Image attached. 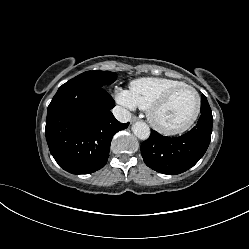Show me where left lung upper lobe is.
Returning <instances> with one entry per match:
<instances>
[{
    "label": "left lung upper lobe",
    "mask_w": 249,
    "mask_h": 249,
    "mask_svg": "<svg viewBox=\"0 0 249 249\" xmlns=\"http://www.w3.org/2000/svg\"><path fill=\"white\" fill-rule=\"evenodd\" d=\"M205 113H211V109H210V106L208 104L207 98L204 95H202L201 114H205Z\"/></svg>",
    "instance_id": "obj_1"
}]
</instances>
